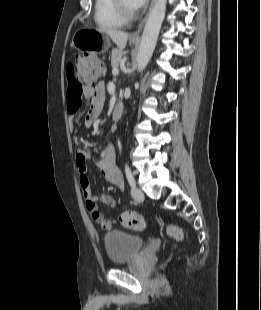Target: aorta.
<instances>
[{"mask_svg": "<svg viewBox=\"0 0 261 310\" xmlns=\"http://www.w3.org/2000/svg\"><path fill=\"white\" fill-rule=\"evenodd\" d=\"M166 0H155L145 24L137 57V70L143 72L154 52L159 32L165 17Z\"/></svg>", "mask_w": 261, "mask_h": 310, "instance_id": "obj_1", "label": "aorta"}]
</instances>
